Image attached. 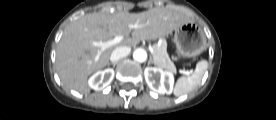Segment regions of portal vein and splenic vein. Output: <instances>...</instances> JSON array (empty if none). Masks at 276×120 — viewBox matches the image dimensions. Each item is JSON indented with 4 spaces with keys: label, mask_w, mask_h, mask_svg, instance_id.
Returning <instances> with one entry per match:
<instances>
[{
    "label": "portal vein and splenic vein",
    "mask_w": 276,
    "mask_h": 120,
    "mask_svg": "<svg viewBox=\"0 0 276 120\" xmlns=\"http://www.w3.org/2000/svg\"><path fill=\"white\" fill-rule=\"evenodd\" d=\"M122 40H123L122 36H116L114 39L106 41V42H102V41L97 42V41H94V42H92V45L101 48V50H104V49H106L108 47H111L113 45H116V44L120 43ZM149 50H150V52L152 54L154 53L153 47H149Z\"/></svg>",
    "instance_id": "obj_1"
}]
</instances>
